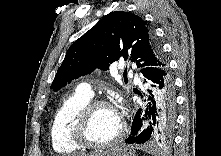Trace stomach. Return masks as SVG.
Wrapping results in <instances>:
<instances>
[{"label": "stomach", "mask_w": 221, "mask_h": 156, "mask_svg": "<svg viewBox=\"0 0 221 156\" xmlns=\"http://www.w3.org/2000/svg\"><path fill=\"white\" fill-rule=\"evenodd\" d=\"M104 156H134V153L129 148L116 147L107 151Z\"/></svg>", "instance_id": "stomach-1"}]
</instances>
